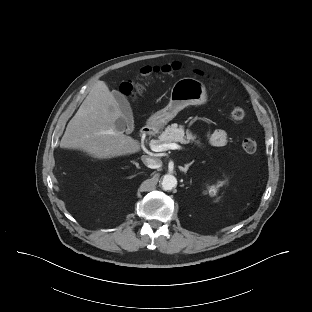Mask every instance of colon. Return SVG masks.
Returning a JSON list of instances; mask_svg holds the SVG:
<instances>
[{
    "label": "colon",
    "instance_id": "1",
    "mask_svg": "<svg viewBox=\"0 0 312 312\" xmlns=\"http://www.w3.org/2000/svg\"><path fill=\"white\" fill-rule=\"evenodd\" d=\"M180 66L178 64L163 65V66H147L141 69L137 80L124 82L121 84L120 90L122 94L128 97H136L144 91L143 81H147L155 76L169 75L172 72L178 70ZM200 74L199 72H197ZM246 109L240 104H233L230 107L229 116L234 122H241L246 118ZM241 147L244 152L253 154L257 151V142L251 137H246L241 142Z\"/></svg>",
    "mask_w": 312,
    "mask_h": 312
}]
</instances>
